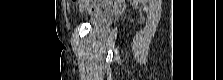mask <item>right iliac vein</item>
Wrapping results in <instances>:
<instances>
[{
  "instance_id": "1",
  "label": "right iliac vein",
  "mask_w": 223,
  "mask_h": 80,
  "mask_svg": "<svg viewBox=\"0 0 223 80\" xmlns=\"http://www.w3.org/2000/svg\"><path fill=\"white\" fill-rule=\"evenodd\" d=\"M88 6V4H83L81 7H80V11L83 12L84 9Z\"/></svg>"
}]
</instances>
